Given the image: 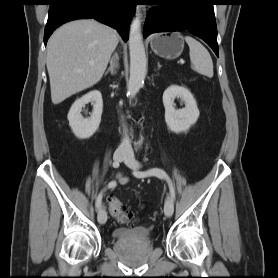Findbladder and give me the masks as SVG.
I'll return each mask as SVG.
<instances>
[{
	"label": "bladder",
	"mask_w": 278,
	"mask_h": 278,
	"mask_svg": "<svg viewBox=\"0 0 278 278\" xmlns=\"http://www.w3.org/2000/svg\"><path fill=\"white\" fill-rule=\"evenodd\" d=\"M112 236L121 242H147L151 239L150 231L140 227H119L112 231Z\"/></svg>",
	"instance_id": "bladder-1"
}]
</instances>
